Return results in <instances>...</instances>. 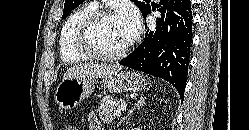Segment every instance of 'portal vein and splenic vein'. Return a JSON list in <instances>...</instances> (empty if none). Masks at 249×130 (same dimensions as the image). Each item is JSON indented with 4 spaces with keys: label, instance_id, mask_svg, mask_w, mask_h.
<instances>
[{
    "label": "portal vein and splenic vein",
    "instance_id": "1",
    "mask_svg": "<svg viewBox=\"0 0 249 130\" xmlns=\"http://www.w3.org/2000/svg\"><path fill=\"white\" fill-rule=\"evenodd\" d=\"M126 108H127V104L126 103H121V104L118 105L117 111L118 112L119 111H124V110H126Z\"/></svg>",
    "mask_w": 249,
    "mask_h": 130
}]
</instances>
